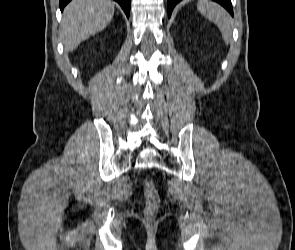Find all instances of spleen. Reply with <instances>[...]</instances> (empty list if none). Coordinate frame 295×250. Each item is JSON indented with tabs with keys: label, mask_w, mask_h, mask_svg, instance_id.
I'll list each match as a JSON object with an SVG mask.
<instances>
[{
	"label": "spleen",
	"mask_w": 295,
	"mask_h": 250,
	"mask_svg": "<svg viewBox=\"0 0 295 250\" xmlns=\"http://www.w3.org/2000/svg\"><path fill=\"white\" fill-rule=\"evenodd\" d=\"M197 9L204 17L217 24L224 42L229 44L232 40V24L228 12L209 0H199Z\"/></svg>",
	"instance_id": "3e777b00"
}]
</instances>
